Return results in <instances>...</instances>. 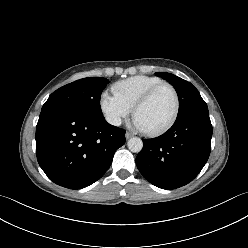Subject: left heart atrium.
<instances>
[{
	"instance_id": "39dd6f15",
	"label": "left heart atrium",
	"mask_w": 248,
	"mask_h": 248,
	"mask_svg": "<svg viewBox=\"0 0 248 248\" xmlns=\"http://www.w3.org/2000/svg\"><path fill=\"white\" fill-rule=\"evenodd\" d=\"M134 125H135L137 128L142 129L141 125L139 124V122H138L136 119H134Z\"/></svg>"
}]
</instances>
